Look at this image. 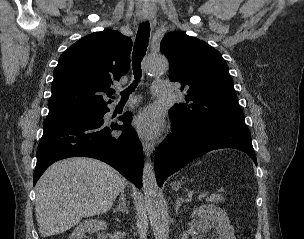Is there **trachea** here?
I'll return each instance as SVG.
<instances>
[{
    "mask_svg": "<svg viewBox=\"0 0 304 239\" xmlns=\"http://www.w3.org/2000/svg\"><path fill=\"white\" fill-rule=\"evenodd\" d=\"M149 36H150V24L148 22L140 24L138 28L136 40L134 43L133 54H132V66H133L135 80L125 91L121 92L122 100L128 99L129 94H131L135 90L136 86L138 85V82L140 81V78L142 76V70L140 68V64L147 50Z\"/></svg>",
    "mask_w": 304,
    "mask_h": 239,
    "instance_id": "obj_1",
    "label": "trachea"
}]
</instances>
